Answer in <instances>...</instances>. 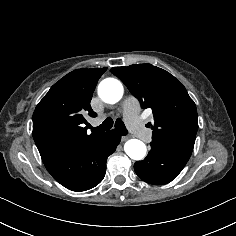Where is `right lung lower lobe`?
<instances>
[{"label":"right lung lower lobe","instance_id":"98d812e1","mask_svg":"<svg viewBox=\"0 0 236 236\" xmlns=\"http://www.w3.org/2000/svg\"><path fill=\"white\" fill-rule=\"evenodd\" d=\"M120 140L121 135L111 130L43 162L54 179L67 189L89 190L104 178L107 158L116 150Z\"/></svg>","mask_w":236,"mask_h":236}]
</instances>
